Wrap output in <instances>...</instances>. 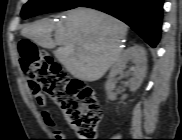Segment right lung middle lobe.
I'll return each mask as SVG.
<instances>
[{
    "mask_svg": "<svg viewBox=\"0 0 182 140\" xmlns=\"http://www.w3.org/2000/svg\"><path fill=\"white\" fill-rule=\"evenodd\" d=\"M86 0H29L22 8L23 19L43 13L65 11L79 7Z\"/></svg>",
    "mask_w": 182,
    "mask_h": 140,
    "instance_id": "right-lung-middle-lobe-1",
    "label": "right lung middle lobe"
}]
</instances>
